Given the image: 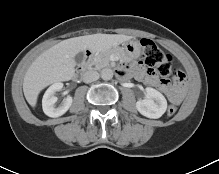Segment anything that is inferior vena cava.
Returning <instances> with one entry per match:
<instances>
[{
    "instance_id": "1",
    "label": "inferior vena cava",
    "mask_w": 219,
    "mask_h": 174,
    "mask_svg": "<svg viewBox=\"0 0 219 174\" xmlns=\"http://www.w3.org/2000/svg\"><path fill=\"white\" fill-rule=\"evenodd\" d=\"M99 79V73L94 70H88L83 74V81L85 83H91Z\"/></svg>"
}]
</instances>
